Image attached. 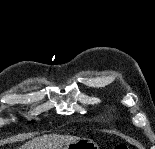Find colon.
<instances>
[{"label":"colon","instance_id":"obj_1","mask_svg":"<svg viewBox=\"0 0 155 149\" xmlns=\"http://www.w3.org/2000/svg\"><path fill=\"white\" fill-rule=\"evenodd\" d=\"M115 149H128V146H127V144L122 143V144H118L115 147Z\"/></svg>","mask_w":155,"mask_h":149}]
</instances>
